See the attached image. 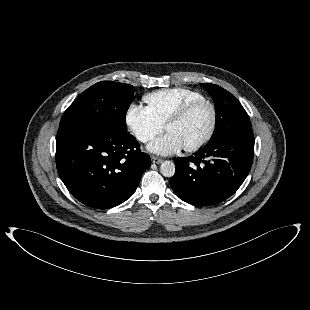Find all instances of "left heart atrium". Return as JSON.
<instances>
[{
  "label": "left heart atrium",
  "instance_id": "39dd6f15",
  "mask_svg": "<svg viewBox=\"0 0 310 310\" xmlns=\"http://www.w3.org/2000/svg\"><path fill=\"white\" fill-rule=\"evenodd\" d=\"M183 148L182 142L173 133L155 139L148 146V150L160 156H169L179 152Z\"/></svg>",
  "mask_w": 310,
  "mask_h": 310
}]
</instances>
